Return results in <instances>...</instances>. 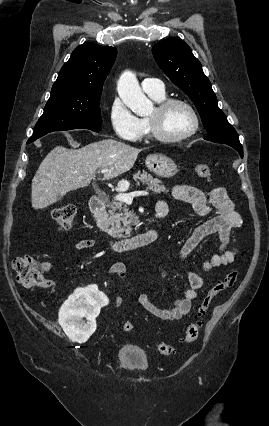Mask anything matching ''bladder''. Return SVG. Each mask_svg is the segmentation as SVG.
I'll list each match as a JSON object with an SVG mask.
<instances>
[{
  "instance_id": "bladder-1",
  "label": "bladder",
  "mask_w": 269,
  "mask_h": 426,
  "mask_svg": "<svg viewBox=\"0 0 269 426\" xmlns=\"http://www.w3.org/2000/svg\"><path fill=\"white\" fill-rule=\"evenodd\" d=\"M117 358L121 364L130 369L145 370L148 367L146 352L131 343H124L119 347Z\"/></svg>"
}]
</instances>
